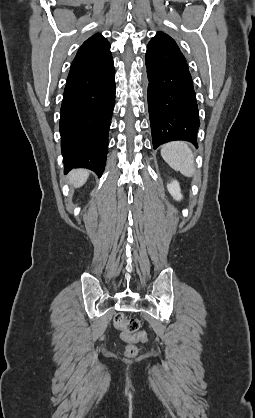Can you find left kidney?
I'll return each instance as SVG.
<instances>
[{
  "label": "left kidney",
  "mask_w": 255,
  "mask_h": 418,
  "mask_svg": "<svg viewBox=\"0 0 255 418\" xmlns=\"http://www.w3.org/2000/svg\"><path fill=\"white\" fill-rule=\"evenodd\" d=\"M168 191L173 196V198L177 201L182 199L181 189L178 181L173 180L168 184Z\"/></svg>",
  "instance_id": "obj_1"
}]
</instances>
